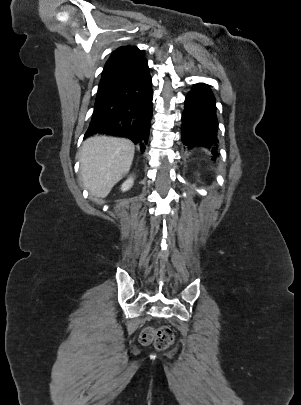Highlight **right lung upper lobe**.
I'll return each instance as SVG.
<instances>
[{
  "label": "right lung upper lobe",
  "mask_w": 301,
  "mask_h": 405,
  "mask_svg": "<svg viewBox=\"0 0 301 405\" xmlns=\"http://www.w3.org/2000/svg\"><path fill=\"white\" fill-rule=\"evenodd\" d=\"M145 57L136 46L116 49L105 64L97 97L121 82Z\"/></svg>",
  "instance_id": "1"
}]
</instances>
